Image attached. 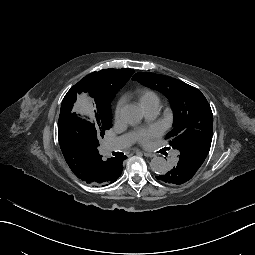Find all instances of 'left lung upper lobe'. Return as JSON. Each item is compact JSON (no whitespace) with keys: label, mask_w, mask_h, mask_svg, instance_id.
Masks as SVG:
<instances>
[{"label":"left lung upper lobe","mask_w":255,"mask_h":255,"mask_svg":"<svg viewBox=\"0 0 255 255\" xmlns=\"http://www.w3.org/2000/svg\"><path fill=\"white\" fill-rule=\"evenodd\" d=\"M132 79L169 99L174 122L166 137L172 139L170 145L180 152L178 163L193 177L206 159L212 141L213 114L206 98L197 88L164 75L140 72Z\"/></svg>","instance_id":"5c2ea615"}]
</instances>
